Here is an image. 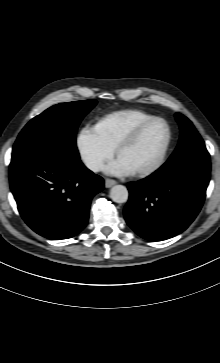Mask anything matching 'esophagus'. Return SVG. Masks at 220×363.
I'll return each mask as SVG.
<instances>
[{
    "label": "esophagus",
    "mask_w": 220,
    "mask_h": 363,
    "mask_svg": "<svg viewBox=\"0 0 220 363\" xmlns=\"http://www.w3.org/2000/svg\"><path fill=\"white\" fill-rule=\"evenodd\" d=\"M117 182L113 179H106L105 180V187L106 188H110L112 187L113 185H115Z\"/></svg>",
    "instance_id": "34e87169"
}]
</instances>
